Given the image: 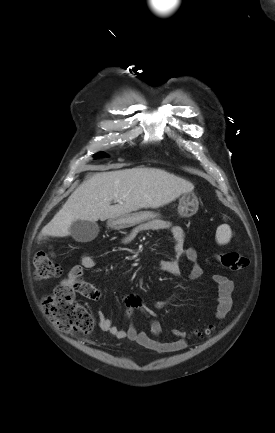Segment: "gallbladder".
I'll return each instance as SVG.
<instances>
[{
    "label": "gallbladder",
    "instance_id": "1",
    "mask_svg": "<svg viewBox=\"0 0 275 433\" xmlns=\"http://www.w3.org/2000/svg\"><path fill=\"white\" fill-rule=\"evenodd\" d=\"M69 232L74 240L87 243L97 237L99 226L96 222L77 220L72 223Z\"/></svg>",
    "mask_w": 275,
    "mask_h": 433
}]
</instances>
